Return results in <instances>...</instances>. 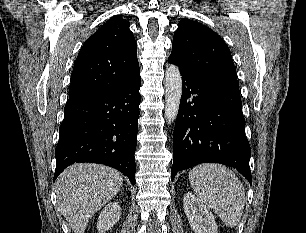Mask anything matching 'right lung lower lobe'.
Instances as JSON below:
<instances>
[{
	"label": "right lung lower lobe",
	"instance_id": "obj_1",
	"mask_svg": "<svg viewBox=\"0 0 306 233\" xmlns=\"http://www.w3.org/2000/svg\"><path fill=\"white\" fill-rule=\"evenodd\" d=\"M140 70L120 87L64 108L54 180L75 162L100 163L135 180Z\"/></svg>",
	"mask_w": 306,
	"mask_h": 233
}]
</instances>
